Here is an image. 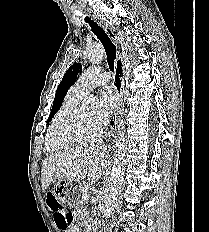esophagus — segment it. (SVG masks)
<instances>
[{"label": "esophagus", "instance_id": "obj_1", "mask_svg": "<svg viewBox=\"0 0 209 232\" xmlns=\"http://www.w3.org/2000/svg\"><path fill=\"white\" fill-rule=\"evenodd\" d=\"M88 15L99 25L101 26L105 32L108 34V36L116 42V38L113 34V32L108 28V26L93 12L92 10H87ZM123 72H124V67H123V62L121 55L118 54L116 64H115V73H114V83L117 89L119 90V98L122 95V90L124 86V81H123ZM120 80V82H119ZM107 136H110V132L108 133Z\"/></svg>", "mask_w": 209, "mask_h": 232}]
</instances>
